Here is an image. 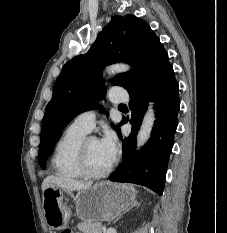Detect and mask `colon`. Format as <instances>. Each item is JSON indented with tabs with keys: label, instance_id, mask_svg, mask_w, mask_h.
<instances>
[{
	"label": "colon",
	"instance_id": "5ec220e1",
	"mask_svg": "<svg viewBox=\"0 0 227 233\" xmlns=\"http://www.w3.org/2000/svg\"><path fill=\"white\" fill-rule=\"evenodd\" d=\"M61 233H73V232L71 230H69V229H65Z\"/></svg>",
	"mask_w": 227,
	"mask_h": 233
}]
</instances>
